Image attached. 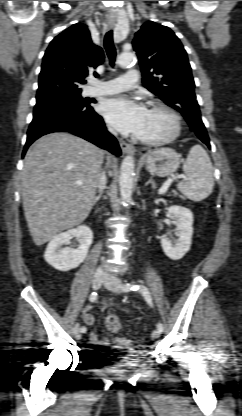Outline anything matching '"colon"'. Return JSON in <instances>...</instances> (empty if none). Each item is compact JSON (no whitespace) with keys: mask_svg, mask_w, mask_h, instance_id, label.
I'll return each mask as SVG.
<instances>
[{"mask_svg":"<svg viewBox=\"0 0 242 416\" xmlns=\"http://www.w3.org/2000/svg\"><path fill=\"white\" fill-rule=\"evenodd\" d=\"M106 328L112 333H121L123 331V324L119 317L110 315L105 322Z\"/></svg>","mask_w":242,"mask_h":416,"instance_id":"obj_1","label":"colon"}]
</instances>
